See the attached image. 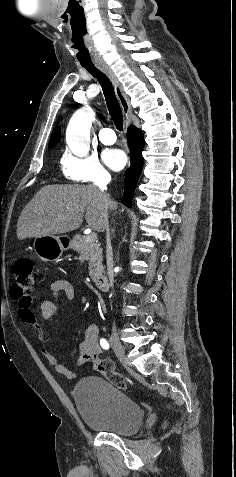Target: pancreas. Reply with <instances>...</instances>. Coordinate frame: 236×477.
<instances>
[{
    "label": "pancreas",
    "mask_w": 236,
    "mask_h": 477,
    "mask_svg": "<svg viewBox=\"0 0 236 477\" xmlns=\"http://www.w3.org/2000/svg\"><path fill=\"white\" fill-rule=\"evenodd\" d=\"M70 247L78 252L85 260H89V276L96 281L102 277L104 267L102 265V249L94 240L86 242V237L76 235L70 243Z\"/></svg>",
    "instance_id": "obj_1"
}]
</instances>
